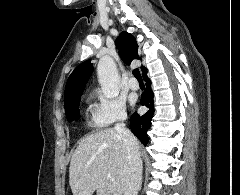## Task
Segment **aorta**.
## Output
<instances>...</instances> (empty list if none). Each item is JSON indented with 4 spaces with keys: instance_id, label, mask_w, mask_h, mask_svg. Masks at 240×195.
Listing matches in <instances>:
<instances>
[{
    "instance_id": "762f6f07",
    "label": "aorta",
    "mask_w": 240,
    "mask_h": 195,
    "mask_svg": "<svg viewBox=\"0 0 240 195\" xmlns=\"http://www.w3.org/2000/svg\"><path fill=\"white\" fill-rule=\"evenodd\" d=\"M97 78L106 98H117L121 92L117 66L110 56L100 58L97 66Z\"/></svg>"
}]
</instances>
